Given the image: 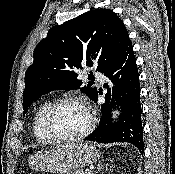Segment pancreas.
I'll return each mask as SVG.
<instances>
[{
	"instance_id": "cf45deb5",
	"label": "pancreas",
	"mask_w": 175,
	"mask_h": 174,
	"mask_svg": "<svg viewBox=\"0 0 175 174\" xmlns=\"http://www.w3.org/2000/svg\"><path fill=\"white\" fill-rule=\"evenodd\" d=\"M72 174H86L83 170L74 171Z\"/></svg>"
}]
</instances>
